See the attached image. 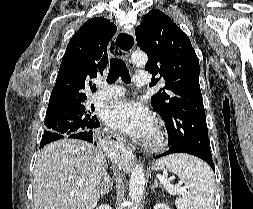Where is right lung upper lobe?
Wrapping results in <instances>:
<instances>
[{
  "mask_svg": "<svg viewBox=\"0 0 253 209\" xmlns=\"http://www.w3.org/2000/svg\"><path fill=\"white\" fill-rule=\"evenodd\" d=\"M116 31L117 27L109 20L97 17L88 20L75 33L62 58L47 113L85 104L88 80L103 74L108 63L107 45Z\"/></svg>",
  "mask_w": 253,
  "mask_h": 209,
  "instance_id": "obj_1",
  "label": "right lung upper lobe"
}]
</instances>
